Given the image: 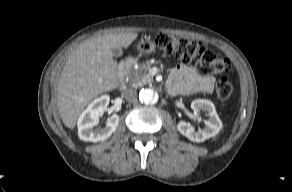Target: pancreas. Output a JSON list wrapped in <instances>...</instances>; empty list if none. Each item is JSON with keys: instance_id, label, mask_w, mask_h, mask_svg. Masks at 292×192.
I'll use <instances>...</instances> for the list:
<instances>
[{"instance_id": "obj_1", "label": "pancreas", "mask_w": 292, "mask_h": 192, "mask_svg": "<svg viewBox=\"0 0 292 192\" xmlns=\"http://www.w3.org/2000/svg\"><path fill=\"white\" fill-rule=\"evenodd\" d=\"M152 67L151 61L140 63L137 69L129 72V81L134 85H143L153 82V76L149 73Z\"/></svg>"}]
</instances>
